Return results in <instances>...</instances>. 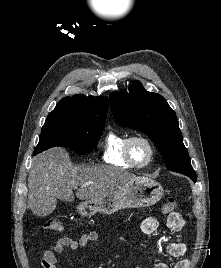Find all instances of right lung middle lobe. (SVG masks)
<instances>
[{"label":"right lung middle lobe","mask_w":221,"mask_h":268,"mask_svg":"<svg viewBox=\"0 0 221 268\" xmlns=\"http://www.w3.org/2000/svg\"><path fill=\"white\" fill-rule=\"evenodd\" d=\"M104 123L76 118L67 114L50 113L42 127L40 140L34 154L53 146L68 147L80 153L97 147Z\"/></svg>","instance_id":"dd1d6c3e"}]
</instances>
